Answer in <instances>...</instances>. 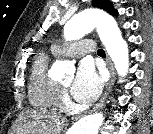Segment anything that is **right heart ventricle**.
<instances>
[{
    "mask_svg": "<svg viewBox=\"0 0 153 134\" xmlns=\"http://www.w3.org/2000/svg\"><path fill=\"white\" fill-rule=\"evenodd\" d=\"M50 57L39 53L32 64L29 76V99L37 107L57 110L63 103V91L47 72Z\"/></svg>",
    "mask_w": 153,
    "mask_h": 134,
    "instance_id": "right-heart-ventricle-1",
    "label": "right heart ventricle"
}]
</instances>
